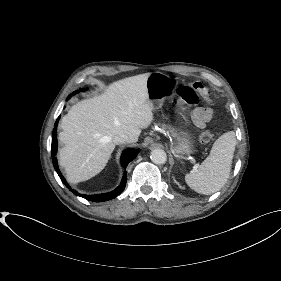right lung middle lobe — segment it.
Returning <instances> with one entry per match:
<instances>
[{
  "mask_svg": "<svg viewBox=\"0 0 281 281\" xmlns=\"http://www.w3.org/2000/svg\"><path fill=\"white\" fill-rule=\"evenodd\" d=\"M83 90H85V89H81V91H83ZM79 91H75L73 94H76V93H78Z\"/></svg>",
  "mask_w": 281,
  "mask_h": 281,
  "instance_id": "obj_1",
  "label": "right lung middle lobe"
}]
</instances>
